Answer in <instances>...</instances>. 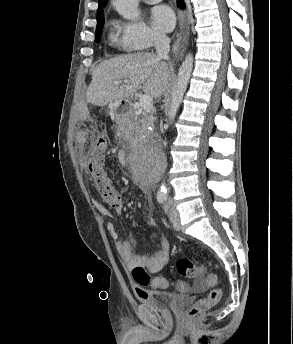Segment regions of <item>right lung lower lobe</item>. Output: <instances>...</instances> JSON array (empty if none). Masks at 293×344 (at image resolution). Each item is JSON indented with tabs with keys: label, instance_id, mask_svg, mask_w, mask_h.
<instances>
[{
	"label": "right lung lower lobe",
	"instance_id": "1",
	"mask_svg": "<svg viewBox=\"0 0 293 344\" xmlns=\"http://www.w3.org/2000/svg\"><path fill=\"white\" fill-rule=\"evenodd\" d=\"M178 4H179V6H180V7H182V6H183V3H182V1H181V0H179Z\"/></svg>",
	"mask_w": 293,
	"mask_h": 344
}]
</instances>
